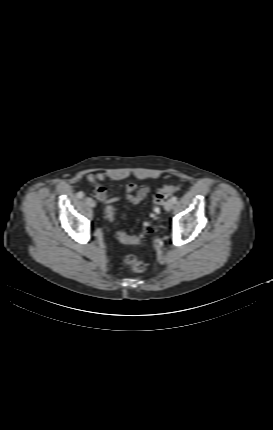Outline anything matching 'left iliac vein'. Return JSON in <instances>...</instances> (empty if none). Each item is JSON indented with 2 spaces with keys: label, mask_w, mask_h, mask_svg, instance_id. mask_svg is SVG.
Here are the masks:
<instances>
[{
  "label": "left iliac vein",
  "mask_w": 273,
  "mask_h": 430,
  "mask_svg": "<svg viewBox=\"0 0 273 430\" xmlns=\"http://www.w3.org/2000/svg\"><path fill=\"white\" fill-rule=\"evenodd\" d=\"M173 206H174V203L170 199L165 203L164 208L166 211H171L173 209Z\"/></svg>",
  "instance_id": "4c4485c4"
}]
</instances>
